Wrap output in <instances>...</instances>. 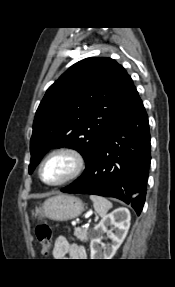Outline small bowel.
<instances>
[{"mask_svg":"<svg viewBox=\"0 0 175 287\" xmlns=\"http://www.w3.org/2000/svg\"><path fill=\"white\" fill-rule=\"evenodd\" d=\"M54 256L58 259L68 256L74 260H84L87 254L83 246L69 244L63 236H60L55 242Z\"/></svg>","mask_w":175,"mask_h":287,"instance_id":"c3829d8e","label":"small bowel"}]
</instances>
